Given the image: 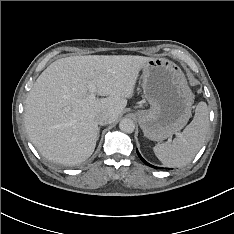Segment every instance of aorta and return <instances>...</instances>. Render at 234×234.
<instances>
[{"mask_svg":"<svg viewBox=\"0 0 234 234\" xmlns=\"http://www.w3.org/2000/svg\"><path fill=\"white\" fill-rule=\"evenodd\" d=\"M119 128L125 133H132L135 130V123L132 119L123 118L119 123Z\"/></svg>","mask_w":234,"mask_h":234,"instance_id":"aorta-1","label":"aorta"}]
</instances>
